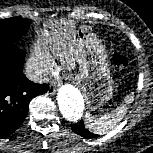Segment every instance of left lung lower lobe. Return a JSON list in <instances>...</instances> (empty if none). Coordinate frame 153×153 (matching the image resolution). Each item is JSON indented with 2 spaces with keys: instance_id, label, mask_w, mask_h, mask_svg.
I'll list each match as a JSON object with an SVG mask.
<instances>
[{
  "instance_id": "left-lung-lower-lobe-1",
  "label": "left lung lower lobe",
  "mask_w": 153,
  "mask_h": 153,
  "mask_svg": "<svg viewBox=\"0 0 153 153\" xmlns=\"http://www.w3.org/2000/svg\"><path fill=\"white\" fill-rule=\"evenodd\" d=\"M71 129L78 135L84 137V138H89V139H94L98 138L99 135L93 134L92 132L88 131L85 128L84 122L79 121L78 123L71 124Z\"/></svg>"
}]
</instances>
